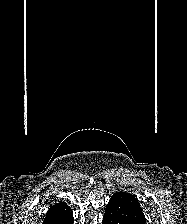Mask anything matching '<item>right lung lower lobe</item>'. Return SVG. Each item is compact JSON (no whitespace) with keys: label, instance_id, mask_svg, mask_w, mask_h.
Returning <instances> with one entry per match:
<instances>
[{"label":"right lung lower lobe","instance_id":"98d812e1","mask_svg":"<svg viewBox=\"0 0 187 224\" xmlns=\"http://www.w3.org/2000/svg\"><path fill=\"white\" fill-rule=\"evenodd\" d=\"M73 223L74 218L71 211L66 215H63L57 219H54L51 222H48V224H73Z\"/></svg>","mask_w":187,"mask_h":224}]
</instances>
